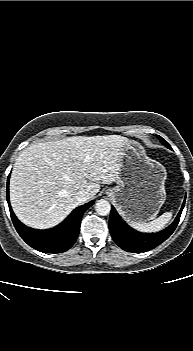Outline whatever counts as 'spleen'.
Returning a JSON list of instances; mask_svg holds the SVG:
<instances>
[{
    "label": "spleen",
    "instance_id": "spleen-1",
    "mask_svg": "<svg viewBox=\"0 0 193 351\" xmlns=\"http://www.w3.org/2000/svg\"><path fill=\"white\" fill-rule=\"evenodd\" d=\"M172 212H165L157 219H154L151 222H130V225L142 232H157L163 229L171 220Z\"/></svg>",
    "mask_w": 193,
    "mask_h": 351
}]
</instances>
